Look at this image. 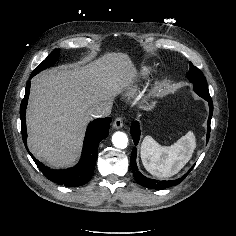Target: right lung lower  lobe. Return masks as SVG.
<instances>
[{
  "label": "right lung lower lobe",
  "mask_w": 236,
  "mask_h": 236,
  "mask_svg": "<svg viewBox=\"0 0 236 236\" xmlns=\"http://www.w3.org/2000/svg\"><path fill=\"white\" fill-rule=\"evenodd\" d=\"M33 76L31 75L30 78ZM30 91V81L26 84L25 96L20 106V118L22 127V138L27 149V130L25 113L28 103V96ZM111 118H99L91 122L87 128L81 160L72 168L64 170H53L44 166L41 162L36 160L32 154L31 157L41 170V172L52 182L64 185L67 187H78L87 183L93 174L99 142L106 138L109 133V126ZM28 150V149H27Z\"/></svg>",
  "instance_id": "right-lung-lower-lobe-1"
}]
</instances>
